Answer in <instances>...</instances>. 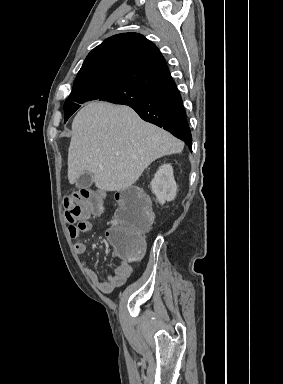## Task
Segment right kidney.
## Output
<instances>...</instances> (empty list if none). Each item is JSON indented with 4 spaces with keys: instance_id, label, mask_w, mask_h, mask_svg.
Segmentation results:
<instances>
[{
    "instance_id": "1",
    "label": "right kidney",
    "mask_w": 283,
    "mask_h": 384,
    "mask_svg": "<svg viewBox=\"0 0 283 384\" xmlns=\"http://www.w3.org/2000/svg\"><path fill=\"white\" fill-rule=\"evenodd\" d=\"M150 186L159 204L172 202V200L176 198L177 192V186L174 180L172 166H170V164H163V166H160Z\"/></svg>"
}]
</instances>
